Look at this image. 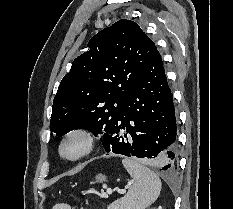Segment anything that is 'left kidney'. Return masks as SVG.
<instances>
[{"label":"left kidney","mask_w":233,"mask_h":209,"mask_svg":"<svg viewBox=\"0 0 233 209\" xmlns=\"http://www.w3.org/2000/svg\"><path fill=\"white\" fill-rule=\"evenodd\" d=\"M157 209H162V207L160 206V207H158Z\"/></svg>","instance_id":"5707ae66"}]
</instances>
